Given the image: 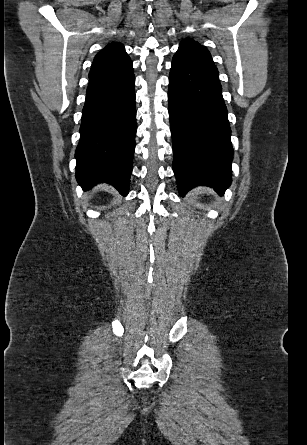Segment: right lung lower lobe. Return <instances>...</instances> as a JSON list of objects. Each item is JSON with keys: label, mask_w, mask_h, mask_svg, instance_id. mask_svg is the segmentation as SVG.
Returning a JSON list of instances; mask_svg holds the SVG:
<instances>
[{"label": "right lung lower lobe", "mask_w": 307, "mask_h": 445, "mask_svg": "<svg viewBox=\"0 0 307 445\" xmlns=\"http://www.w3.org/2000/svg\"><path fill=\"white\" fill-rule=\"evenodd\" d=\"M134 83L132 62L89 78L75 152L76 179L84 190L106 182L128 194L136 133Z\"/></svg>", "instance_id": "obj_1"}]
</instances>
